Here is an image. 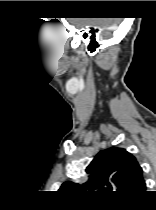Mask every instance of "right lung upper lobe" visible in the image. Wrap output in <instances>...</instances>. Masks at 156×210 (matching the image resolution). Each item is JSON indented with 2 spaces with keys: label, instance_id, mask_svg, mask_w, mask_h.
Listing matches in <instances>:
<instances>
[{
  "label": "right lung upper lobe",
  "instance_id": "obj_1",
  "mask_svg": "<svg viewBox=\"0 0 156 210\" xmlns=\"http://www.w3.org/2000/svg\"><path fill=\"white\" fill-rule=\"evenodd\" d=\"M83 183L64 182L60 190L76 192L85 199L127 200L145 192L146 184L137 159L123 148L100 151L86 168Z\"/></svg>",
  "mask_w": 156,
  "mask_h": 210
}]
</instances>
